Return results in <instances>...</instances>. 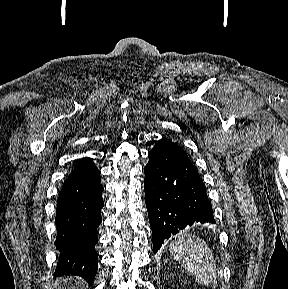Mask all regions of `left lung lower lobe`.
<instances>
[{
    "instance_id": "1",
    "label": "left lung lower lobe",
    "mask_w": 288,
    "mask_h": 289,
    "mask_svg": "<svg viewBox=\"0 0 288 289\" xmlns=\"http://www.w3.org/2000/svg\"><path fill=\"white\" fill-rule=\"evenodd\" d=\"M145 198L154 253L172 234L194 222L215 223L206 187L187 154L168 139L148 153Z\"/></svg>"
}]
</instances>
